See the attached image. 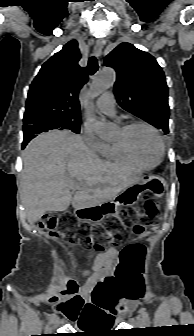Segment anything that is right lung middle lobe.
I'll return each instance as SVG.
<instances>
[{"label": "right lung middle lobe", "instance_id": "obj_1", "mask_svg": "<svg viewBox=\"0 0 194 336\" xmlns=\"http://www.w3.org/2000/svg\"><path fill=\"white\" fill-rule=\"evenodd\" d=\"M53 129H69L75 133H79L80 121L74 122L65 119L42 118L31 122V124L23 125L24 137L30 133H42Z\"/></svg>", "mask_w": 194, "mask_h": 336}]
</instances>
